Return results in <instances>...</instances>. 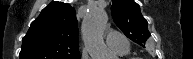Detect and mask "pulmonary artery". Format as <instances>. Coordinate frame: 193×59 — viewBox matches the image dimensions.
Masks as SVG:
<instances>
[{
  "label": "pulmonary artery",
  "instance_id": "1",
  "mask_svg": "<svg viewBox=\"0 0 193 59\" xmlns=\"http://www.w3.org/2000/svg\"><path fill=\"white\" fill-rule=\"evenodd\" d=\"M106 42L118 53H127L129 51V45L125 42V38L122 34L108 30L106 32Z\"/></svg>",
  "mask_w": 193,
  "mask_h": 59
}]
</instances>
